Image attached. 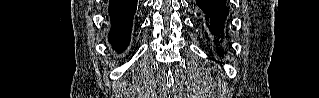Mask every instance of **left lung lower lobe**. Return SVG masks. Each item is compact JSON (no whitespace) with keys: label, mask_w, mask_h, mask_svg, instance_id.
I'll return each instance as SVG.
<instances>
[{"label":"left lung lower lobe","mask_w":319,"mask_h":98,"mask_svg":"<svg viewBox=\"0 0 319 98\" xmlns=\"http://www.w3.org/2000/svg\"><path fill=\"white\" fill-rule=\"evenodd\" d=\"M200 16L209 33L216 39L223 37L228 10L225 0H196Z\"/></svg>","instance_id":"1"}]
</instances>
